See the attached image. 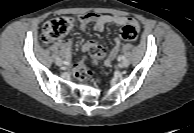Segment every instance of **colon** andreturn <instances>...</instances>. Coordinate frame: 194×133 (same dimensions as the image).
<instances>
[{
	"label": "colon",
	"mask_w": 194,
	"mask_h": 133,
	"mask_svg": "<svg viewBox=\"0 0 194 133\" xmlns=\"http://www.w3.org/2000/svg\"><path fill=\"white\" fill-rule=\"evenodd\" d=\"M71 27V20L68 17H57L51 19L43 25V42L48 43L63 37ZM137 30L133 26H125L122 28L121 37L128 42L137 40ZM90 56L94 63H97L104 56V48L95 43L90 47ZM74 75L80 80L86 79L90 75V70L84 61L77 63L73 69Z\"/></svg>",
	"instance_id": "5ec220e1"
}]
</instances>
